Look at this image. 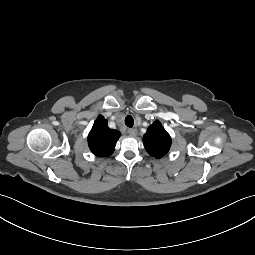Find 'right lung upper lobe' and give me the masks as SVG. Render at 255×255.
<instances>
[{
	"instance_id": "right-lung-upper-lobe-1",
	"label": "right lung upper lobe",
	"mask_w": 255,
	"mask_h": 255,
	"mask_svg": "<svg viewBox=\"0 0 255 255\" xmlns=\"http://www.w3.org/2000/svg\"><path fill=\"white\" fill-rule=\"evenodd\" d=\"M120 135L117 130L108 128L107 120L100 115L88 135L89 148L96 156H110Z\"/></svg>"
}]
</instances>
